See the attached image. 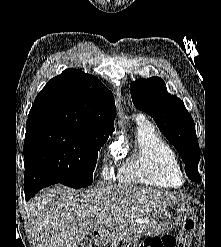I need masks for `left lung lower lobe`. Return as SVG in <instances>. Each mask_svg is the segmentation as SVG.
Here are the masks:
<instances>
[{"label": "left lung lower lobe", "mask_w": 221, "mask_h": 247, "mask_svg": "<svg viewBox=\"0 0 221 247\" xmlns=\"http://www.w3.org/2000/svg\"><path fill=\"white\" fill-rule=\"evenodd\" d=\"M202 201H204V197H201Z\"/></svg>", "instance_id": "left-lung-lower-lobe-1"}]
</instances>
